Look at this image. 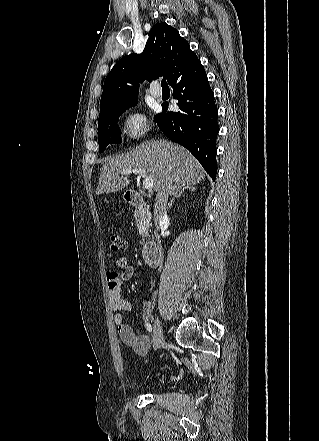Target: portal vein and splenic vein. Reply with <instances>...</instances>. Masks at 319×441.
Returning a JSON list of instances; mask_svg holds the SVG:
<instances>
[{"instance_id": "18ae733b", "label": "portal vein and splenic vein", "mask_w": 319, "mask_h": 441, "mask_svg": "<svg viewBox=\"0 0 319 441\" xmlns=\"http://www.w3.org/2000/svg\"><path fill=\"white\" fill-rule=\"evenodd\" d=\"M130 173L138 174L140 177L144 178L143 188L150 190L153 187V177L147 174V171L143 168H129L121 172V174L127 175Z\"/></svg>"}]
</instances>
